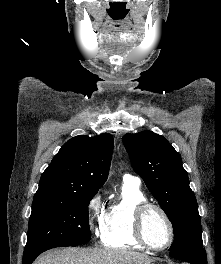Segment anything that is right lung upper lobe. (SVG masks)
Here are the masks:
<instances>
[{
	"instance_id": "obj_1",
	"label": "right lung upper lobe",
	"mask_w": 221,
	"mask_h": 264,
	"mask_svg": "<svg viewBox=\"0 0 221 264\" xmlns=\"http://www.w3.org/2000/svg\"><path fill=\"white\" fill-rule=\"evenodd\" d=\"M113 146L108 133L73 137L43 172L36 193H97L108 177Z\"/></svg>"
}]
</instances>
